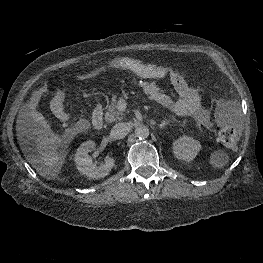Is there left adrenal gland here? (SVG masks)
Returning <instances> with one entry per match:
<instances>
[{
  "instance_id": "a2214340",
  "label": "left adrenal gland",
  "mask_w": 263,
  "mask_h": 263,
  "mask_svg": "<svg viewBox=\"0 0 263 263\" xmlns=\"http://www.w3.org/2000/svg\"><path fill=\"white\" fill-rule=\"evenodd\" d=\"M170 122L168 120H163L161 124L158 125L160 129H163L166 125H168Z\"/></svg>"
}]
</instances>
